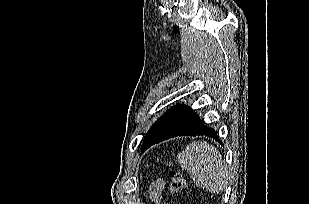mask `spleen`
I'll return each mask as SVG.
<instances>
[{
	"label": "spleen",
	"mask_w": 309,
	"mask_h": 204,
	"mask_svg": "<svg viewBox=\"0 0 309 204\" xmlns=\"http://www.w3.org/2000/svg\"><path fill=\"white\" fill-rule=\"evenodd\" d=\"M178 163L190 174L197 187L211 193H220L228 180L227 165L216 147L206 141L189 144L178 155Z\"/></svg>",
	"instance_id": "1"
}]
</instances>
